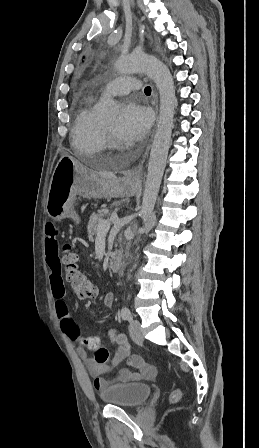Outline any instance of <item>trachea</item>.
<instances>
[{
	"label": "trachea",
	"instance_id": "trachea-1",
	"mask_svg": "<svg viewBox=\"0 0 259 448\" xmlns=\"http://www.w3.org/2000/svg\"><path fill=\"white\" fill-rule=\"evenodd\" d=\"M151 88L150 87H146L145 89H144V93H146V94H148V93H151Z\"/></svg>",
	"mask_w": 259,
	"mask_h": 448
}]
</instances>
